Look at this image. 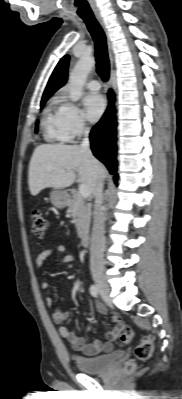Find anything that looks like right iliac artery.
Here are the masks:
<instances>
[{"label": "right iliac artery", "instance_id": "obj_1", "mask_svg": "<svg viewBox=\"0 0 182 399\" xmlns=\"http://www.w3.org/2000/svg\"><path fill=\"white\" fill-rule=\"evenodd\" d=\"M89 291H90V294L93 296V297H98V295H99V290H98V288H97V286L96 285H91L90 286V288H89Z\"/></svg>", "mask_w": 182, "mask_h": 399}]
</instances>
